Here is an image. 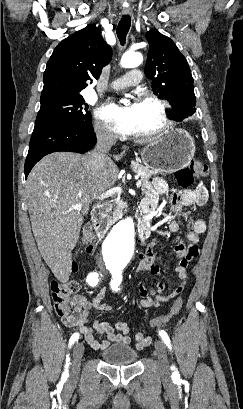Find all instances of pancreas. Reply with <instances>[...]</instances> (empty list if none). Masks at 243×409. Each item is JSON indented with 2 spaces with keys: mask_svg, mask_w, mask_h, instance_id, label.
Masks as SVG:
<instances>
[{
  "mask_svg": "<svg viewBox=\"0 0 243 409\" xmlns=\"http://www.w3.org/2000/svg\"><path fill=\"white\" fill-rule=\"evenodd\" d=\"M131 168L134 172H136L137 174L140 175V179L141 182L143 184H148L149 183V179L156 174L157 172L153 169H150L149 167L143 166L139 163L133 162L131 165ZM127 208V203L123 202V201H118L116 203V206L112 209V207H110L107 211V221L108 223H112L115 222L116 220H118L119 218L122 217L123 215V210H126Z\"/></svg>",
  "mask_w": 243,
  "mask_h": 409,
  "instance_id": "1",
  "label": "pancreas"
}]
</instances>
